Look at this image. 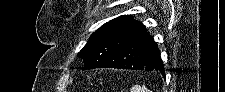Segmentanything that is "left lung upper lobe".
<instances>
[{
    "label": "left lung upper lobe",
    "mask_w": 225,
    "mask_h": 92,
    "mask_svg": "<svg viewBox=\"0 0 225 92\" xmlns=\"http://www.w3.org/2000/svg\"><path fill=\"white\" fill-rule=\"evenodd\" d=\"M144 29L145 26L131 15L119 16L96 30L78 53V57L84 60L85 68H96Z\"/></svg>",
    "instance_id": "1"
}]
</instances>
